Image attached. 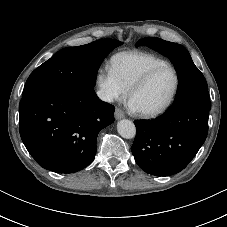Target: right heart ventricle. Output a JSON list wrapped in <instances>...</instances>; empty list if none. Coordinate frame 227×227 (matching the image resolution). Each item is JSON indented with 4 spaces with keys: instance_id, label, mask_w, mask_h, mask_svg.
I'll list each match as a JSON object with an SVG mask.
<instances>
[{
    "instance_id": "e07e8e85",
    "label": "right heart ventricle",
    "mask_w": 227,
    "mask_h": 227,
    "mask_svg": "<svg viewBox=\"0 0 227 227\" xmlns=\"http://www.w3.org/2000/svg\"><path fill=\"white\" fill-rule=\"evenodd\" d=\"M163 58L147 52H124L113 57L111 67L122 85L128 90L150 69L167 64Z\"/></svg>"
}]
</instances>
